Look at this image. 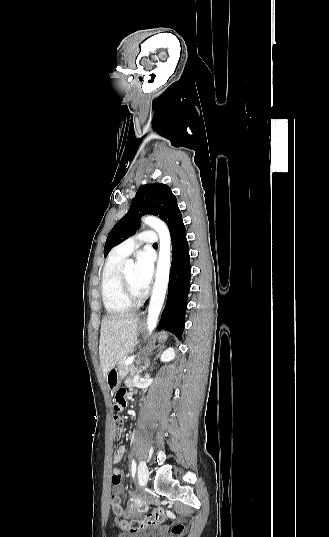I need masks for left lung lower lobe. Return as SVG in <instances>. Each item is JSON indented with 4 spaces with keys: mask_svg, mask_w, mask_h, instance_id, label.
Masks as SVG:
<instances>
[{
    "mask_svg": "<svg viewBox=\"0 0 329 537\" xmlns=\"http://www.w3.org/2000/svg\"><path fill=\"white\" fill-rule=\"evenodd\" d=\"M172 262L166 307L158 328H165L181 338L190 291L191 265L185 225L182 223L171 235Z\"/></svg>",
    "mask_w": 329,
    "mask_h": 537,
    "instance_id": "obj_1",
    "label": "left lung lower lobe"
}]
</instances>
